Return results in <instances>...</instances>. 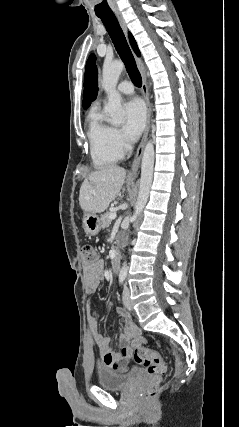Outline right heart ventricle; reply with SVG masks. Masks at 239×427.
I'll return each mask as SVG.
<instances>
[{"instance_id": "e07e8e85", "label": "right heart ventricle", "mask_w": 239, "mask_h": 427, "mask_svg": "<svg viewBox=\"0 0 239 427\" xmlns=\"http://www.w3.org/2000/svg\"><path fill=\"white\" fill-rule=\"evenodd\" d=\"M87 136L91 159L96 167H106L121 159L122 152L113 140V128L97 110H93L89 115Z\"/></svg>"}]
</instances>
